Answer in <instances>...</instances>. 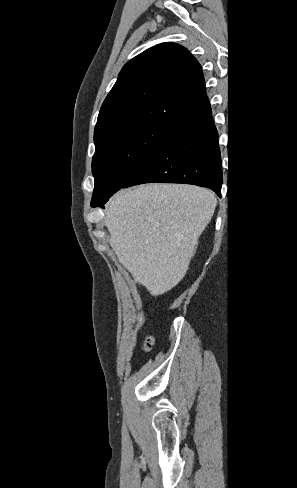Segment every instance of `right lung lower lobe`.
<instances>
[{"label": "right lung lower lobe", "mask_w": 297, "mask_h": 488, "mask_svg": "<svg viewBox=\"0 0 297 488\" xmlns=\"http://www.w3.org/2000/svg\"><path fill=\"white\" fill-rule=\"evenodd\" d=\"M150 182L194 184L221 195V157L211 108L172 128L122 188Z\"/></svg>", "instance_id": "right-lung-lower-lobe-1"}]
</instances>
